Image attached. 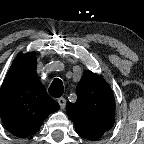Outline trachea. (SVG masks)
I'll return each mask as SVG.
<instances>
[{
	"mask_svg": "<svg viewBox=\"0 0 144 144\" xmlns=\"http://www.w3.org/2000/svg\"><path fill=\"white\" fill-rule=\"evenodd\" d=\"M48 91H49V94L54 98L61 97L64 92V86H63L62 81L58 78L54 79Z\"/></svg>",
	"mask_w": 144,
	"mask_h": 144,
	"instance_id": "obj_1",
	"label": "trachea"
}]
</instances>
